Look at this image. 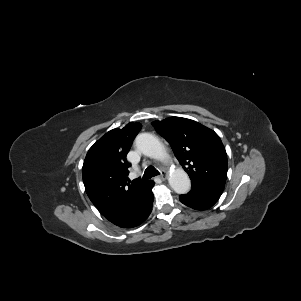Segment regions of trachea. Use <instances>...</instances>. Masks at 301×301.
<instances>
[{"label":"trachea","mask_w":301,"mask_h":301,"mask_svg":"<svg viewBox=\"0 0 301 301\" xmlns=\"http://www.w3.org/2000/svg\"><path fill=\"white\" fill-rule=\"evenodd\" d=\"M160 173L158 172V170H156L153 166H149L146 168L144 174H143V180H147L150 179L154 176L159 175Z\"/></svg>","instance_id":"1"}]
</instances>
